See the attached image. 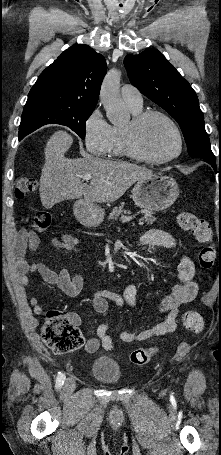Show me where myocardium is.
<instances>
[{
  "label": "myocardium",
  "instance_id": "myocardium-1",
  "mask_svg": "<svg viewBox=\"0 0 221 455\" xmlns=\"http://www.w3.org/2000/svg\"><path fill=\"white\" fill-rule=\"evenodd\" d=\"M159 117L165 120L173 129L177 142V151L166 158H155L146 153L139 145L138 139L144 125L152 118ZM123 146L128 156L151 164H164L178 158L183 151V137L176 122L167 114L158 110H146L135 115L132 120L123 127Z\"/></svg>",
  "mask_w": 221,
  "mask_h": 455
}]
</instances>
